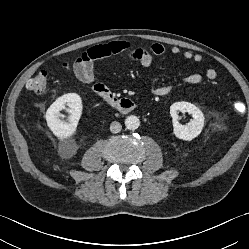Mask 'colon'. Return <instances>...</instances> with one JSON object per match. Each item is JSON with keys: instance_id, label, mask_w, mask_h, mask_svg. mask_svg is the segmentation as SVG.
I'll use <instances>...</instances> for the list:
<instances>
[{"instance_id": "obj_1", "label": "colon", "mask_w": 249, "mask_h": 249, "mask_svg": "<svg viewBox=\"0 0 249 249\" xmlns=\"http://www.w3.org/2000/svg\"><path fill=\"white\" fill-rule=\"evenodd\" d=\"M49 74L47 71H40L34 77H32L28 83L27 88L31 92L42 94L48 89ZM233 110L237 114H242L245 111V104L241 100H235L233 102Z\"/></svg>"}]
</instances>
